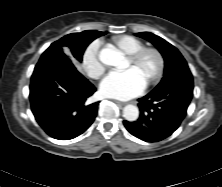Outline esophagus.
<instances>
[{"label": "esophagus", "mask_w": 222, "mask_h": 187, "mask_svg": "<svg viewBox=\"0 0 222 187\" xmlns=\"http://www.w3.org/2000/svg\"><path fill=\"white\" fill-rule=\"evenodd\" d=\"M112 101L115 102V103H117L118 105H121V106L125 105L124 102H120V101H118V100H112Z\"/></svg>", "instance_id": "1"}]
</instances>
